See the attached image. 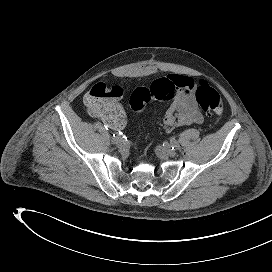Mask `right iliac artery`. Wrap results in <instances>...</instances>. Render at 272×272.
<instances>
[{"instance_id":"1","label":"right iliac artery","mask_w":272,"mask_h":272,"mask_svg":"<svg viewBox=\"0 0 272 272\" xmlns=\"http://www.w3.org/2000/svg\"><path fill=\"white\" fill-rule=\"evenodd\" d=\"M113 136H114L113 139H112L113 144H116L119 139L125 137L123 132H118V133L114 134Z\"/></svg>"}]
</instances>
